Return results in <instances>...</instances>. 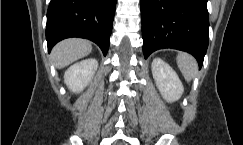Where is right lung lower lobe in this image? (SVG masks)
<instances>
[{
	"label": "right lung lower lobe",
	"mask_w": 243,
	"mask_h": 145,
	"mask_svg": "<svg viewBox=\"0 0 243 145\" xmlns=\"http://www.w3.org/2000/svg\"><path fill=\"white\" fill-rule=\"evenodd\" d=\"M116 0H51L47 11L48 51L69 37L95 42L106 55Z\"/></svg>",
	"instance_id": "98d812e1"
}]
</instances>
